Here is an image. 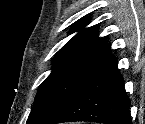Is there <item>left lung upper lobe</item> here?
<instances>
[{
  "mask_svg": "<svg viewBox=\"0 0 145 124\" xmlns=\"http://www.w3.org/2000/svg\"><path fill=\"white\" fill-rule=\"evenodd\" d=\"M88 23V18L76 23L71 32L78 33L56 53L52 72L40 85L26 124L47 121L113 58L97 28L84 27Z\"/></svg>",
  "mask_w": 145,
  "mask_h": 124,
  "instance_id": "5c2ea615",
  "label": "left lung upper lobe"
}]
</instances>
